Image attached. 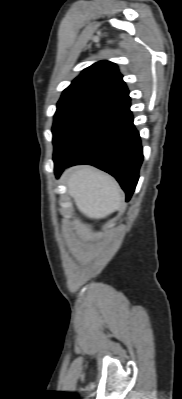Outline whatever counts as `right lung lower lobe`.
I'll list each match as a JSON object with an SVG mask.
<instances>
[{"label": "right lung lower lobe", "instance_id": "right-lung-lower-lobe-1", "mask_svg": "<svg viewBox=\"0 0 182 399\" xmlns=\"http://www.w3.org/2000/svg\"><path fill=\"white\" fill-rule=\"evenodd\" d=\"M55 174L77 164H90L114 176L128 201L137 184L143 151L133 124L130 97L108 102L76 124L54 146Z\"/></svg>", "mask_w": 182, "mask_h": 399}]
</instances>
